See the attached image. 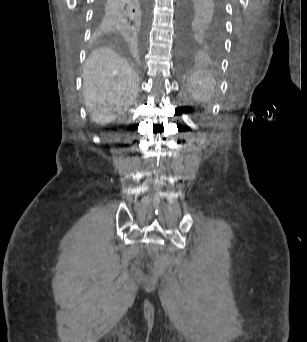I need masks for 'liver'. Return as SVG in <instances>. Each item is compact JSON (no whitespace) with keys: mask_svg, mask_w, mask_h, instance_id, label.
Wrapping results in <instances>:
<instances>
[{"mask_svg":"<svg viewBox=\"0 0 307 342\" xmlns=\"http://www.w3.org/2000/svg\"><path fill=\"white\" fill-rule=\"evenodd\" d=\"M139 76L126 60L110 48H99L88 56L83 70V98L95 124H111L125 106L138 96Z\"/></svg>","mask_w":307,"mask_h":342,"instance_id":"1","label":"liver"}]
</instances>
